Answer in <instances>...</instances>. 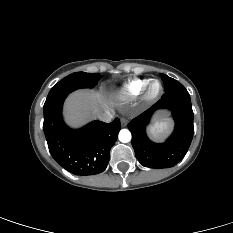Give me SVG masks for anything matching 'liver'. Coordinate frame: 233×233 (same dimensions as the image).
Segmentation results:
<instances>
[{
    "label": "liver",
    "instance_id": "obj_1",
    "mask_svg": "<svg viewBox=\"0 0 233 233\" xmlns=\"http://www.w3.org/2000/svg\"><path fill=\"white\" fill-rule=\"evenodd\" d=\"M112 104L103 93L93 90L75 91L66 100L65 121L71 127H80L105 110L113 111Z\"/></svg>",
    "mask_w": 233,
    "mask_h": 233
}]
</instances>
